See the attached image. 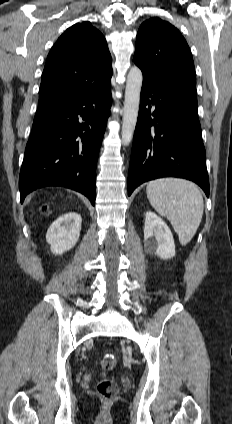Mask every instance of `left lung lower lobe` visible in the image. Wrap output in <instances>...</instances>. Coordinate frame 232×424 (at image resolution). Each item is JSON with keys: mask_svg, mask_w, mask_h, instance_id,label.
<instances>
[{"mask_svg": "<svg viewBox=\"0 0 232 424\" xmlns=\"http://www.w3.org/2000/svg\"><path fill=\"white\" fill-rule=\"evenodd\" d=\"M161 177L192 180L209 196L196 86L142 84L128 195L143 182Z\"/></svg>", "mask_w": 232, "mask_h": 424, "instance_id": "0a47b994", "label": "left lung lower lobe"}]
</instances>
